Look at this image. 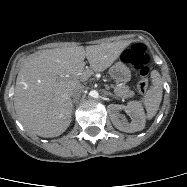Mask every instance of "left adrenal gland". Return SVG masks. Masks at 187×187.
<instances>
[{
	"label": "left adrenal gland",
	"mask_w": 187,
	"mask_h": 187,
	"mask_svg": "<svg viewBox=\"0 0 187 187\" xmlns=\"http://www.w3.org/2000/svg\"><path fill=\"white\" fill-rule=\"evenodd\" d=\"M104 94L106 95V96H112V97H114V98H117L114 94H112L111 92H107V91H104Z\"/></svg>",
	"instance_id": "a2214340"
}]
</instances>
